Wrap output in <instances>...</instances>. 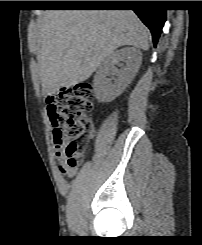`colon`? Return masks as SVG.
I'll return each instance as SVG.
<instances>
[{
    "label": "colon",
    "instance_id": "colon-1",
    "mask_svg": "<svg viewBox=\"0 0 202 245\" xmlns=\"http://www.w3.org/2000/svg\"><path fill=\"white\" fill-rule=\"evenodd\" d=\"M54 109V143L65 141L66 164L81 162L92 131L93 90L88 83L64 87L56 96Z\"/></svg>",
    "mask_w": 202,
    "mask_h": 245
}]
</instances>
